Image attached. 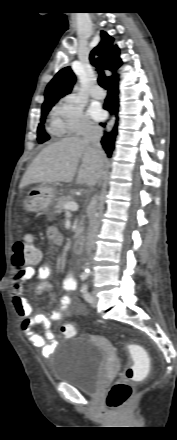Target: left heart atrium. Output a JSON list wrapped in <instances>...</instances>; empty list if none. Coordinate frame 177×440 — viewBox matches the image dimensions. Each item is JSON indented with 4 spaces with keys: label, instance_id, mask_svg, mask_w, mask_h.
<instances>
[{
    "label": "left heart atrium",
    "instance_id": "39dd6f15",
    "mask_svg": "<svg viewBox=\"0 0 177 440\" xmlns=\"http://www.w3.org/2000/svg\"><path fill=\"white\" fill-rule=\"evenodd\" d=\"M90 116L95 120H101L104 116L103 111L98 106H93L89 110Z\"/></svg>",
    "mask_w": 177,
    "mask_h": 440
}]
</instances>
